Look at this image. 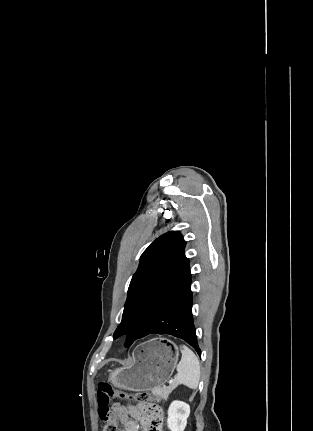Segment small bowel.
Listing matches in <instances>:
<instances>
[{
    "instance_id": "small-bowel-1",
    "label": "small bowel",
    "mask_w": 313,
    "mask_h": 431,
    "mask_svg": "<svg viewBox=\"0 0 313 431\" xmlns=\"http://www.w3.org/2000/svg\"><path fill=\"white\" fill-rule=\"evenodd\" d=\"M113 412L123 424V431H152L153 418L143 404H114Z\"/></svg>"
}]
</instances>
